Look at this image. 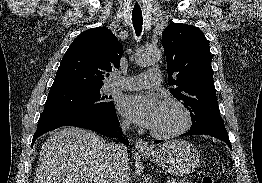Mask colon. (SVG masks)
Here are the masks:
<instances>
[{
	"label": "colon",
	"instance_id": "1",
	"mask_svg": "<svg viewBox=\"0 0 262 183\" xmlns=\"http://www.w3.org/2000/svg\"><path fill=\"white\" fill-rule=\"evenodd\" d=\"M201 183H218V182L211 176H204L201 180Z\"/></svg>",
	"mask_w": 262,
	"mask_h": 183
}]
</instances>
